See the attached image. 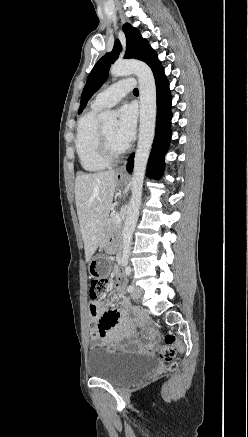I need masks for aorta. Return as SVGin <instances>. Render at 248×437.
I'll use <instances>...</instances> for the list:
<instances>
[{
  "instance_id": "obj_1",
  "label": "aorta",
  "mask_w": 248,
  "mask_h": 437,
  "mask_svg": "<svg viewBox=\"0 0 248 437\" xmlns=\"http://www.w3.org/2000/svg\"><path fill=\"white\" fill-rule=\"evenodd\" d=\"M110 74L114 77L135 74L139 82V138L137 150L134 157L133 176L131 179L132 196L129 202L125 224L122 231V258L124 260H127L130 255L132 237L139 216L145 169L155 135L156 86L155 79L150 67L141 61H118L111 67ZM99 118L103 122H114L116 121L117 115L114 112L105 111L100 114Z\"/></svg>"
}]
</instances>
